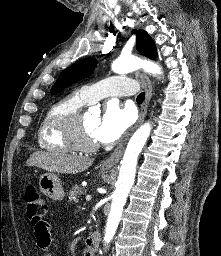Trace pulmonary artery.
<instances>
[{
    "mask_svg": "<svg viewBox=\"0 0 221 256\" xmlns=\"http://www.w3.org/2000/svg\"><path fill=\"white\" fill-rule=\"evenodd\" d=\"M137 89L136 82L122 76L109 77L92 85L83 86L80 93L91 104L109 96H131Z\"/></svg>",
    "mask_w": 221,
    "mask_h": 256,
    "instance_id": "obj_1",
    "label": "pulmonary artery"
}]
</instances>
